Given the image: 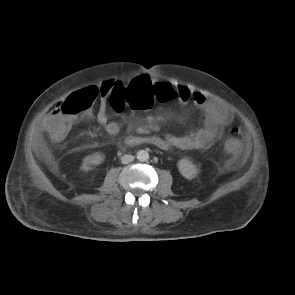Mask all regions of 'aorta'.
I'll list each match as a JSON object with an SVG mask.
<instances>
[{
    "label": "aorta",
    "instance_id": "762f6f07",
    "mask_svg": "<svg viewBox=\"0 0 295 295\" xmlns=\"http://www.w3.org/2000/svg\"><path fill=\"white\" fill-rule=\"evenodd\" d=\"M137 159L139 161H147L149 159V153L146 150H139L137 152Z\"/></svg>",
    "mask_w": 295,
    "mask_h": 295
}]
</instances>
